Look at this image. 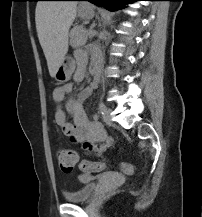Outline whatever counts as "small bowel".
<instances>
[{"instance_id": "small-bowel-1", "label": "small bowel", "mask_w": 202, "mask_h": 217, "mask_svg": "<svg viewBox=\"0 0 202 217\" xmlns=\"http://www.w3.org/2000/svg\"><path fill=\"white\" fill-rule=\"evenodd\" d=\"M76 59L77 69L73 75V79L79 82L85 76L87 59L82 52L76 54ZM92 66L99 67V64L95 60ZM98 80H93L90 85L79 93L77 98L67 99V96L72 91L71 84L59 86L55 88L53 92V98L57 104L55 109V121L61 132L68 135L72 142L80 145L86 152L95 154H101L113 147V140L107 136L98 121V116L93 115L92 119H89L82 107V102L87 100L94 93L98 85ZM63 102H66V110L61 106ZM66 112L72 116V122L67 120Z\"/></svg>"}]
</instances>
